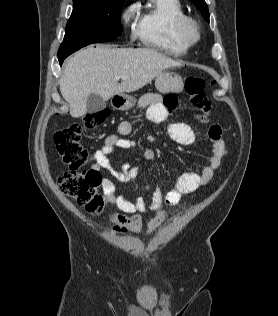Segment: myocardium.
Here are the masks:
<instances>
[{
    "label": "myocardium",
    "mask_w": 278,
    "mask_h": 316,
    "mask_svg": "<svg viewBox=\"0 0 278 316\" xmlns=\"http://www.w3.org/2000/svg\"><path fill=\"white\" fill-rule=\"evenodd\" d=\"M181 29L184 36L191 44H194L199 41L201 37V29L199 24L195 20H193L190 17H187L182 22Z\"/></svg>",
    "instance_id": "1"
}]
</instances>
